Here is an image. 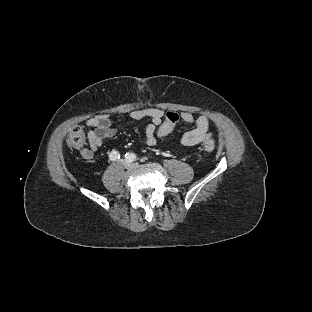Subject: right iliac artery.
Here are the masks:
<instances>
[{"mask_svg": "<svg viewBox=\"0 0 312 312\" xmlns=\"http://www.w3.org/2000/svg\"><path fill=\"white\" fill-rule=\"evenodd\" d=\"M110 159L111 160H117V159H119L120 158V154L117 152V151H115V150H113L111 153H110ZM125 158H126V160H128V161H135V159H136V157H135V155H132V154H126L125 155Z\"/></svg>", "mask_w": 312, "mask_h": 312, "instance_id": "obj_1", "label": "right iliac artery"}]
</instances>
